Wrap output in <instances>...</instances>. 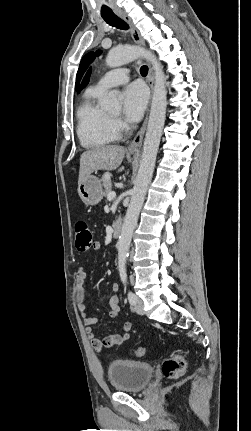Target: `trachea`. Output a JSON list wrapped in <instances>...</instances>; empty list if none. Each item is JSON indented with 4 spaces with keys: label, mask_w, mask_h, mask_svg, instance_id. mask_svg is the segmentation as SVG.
Returning a JSON list of instances; mask_svg holds the SVG:
<instances>
[{
    "label": "trachea",
    "mask_w": 251,
    "mask_h": 431,
    "mask_svg": "<svg viewBox=\"0 0 251 431\" xmlns=\"http://www.w3.org/2000/svg\"><path fill=\"white\" fill-rule=\"evenodd\" d=\"M102 18L111 26L119 28V29H123V30H127L129 28L128 24L123 21L122 19H120L118 16H116L114 13H107V14H103ZM140 73L142 76H146L148 73V67L147 66H142L140 68Z\"/></svg>",
    "instance_id": "trachea-1"
}]
</instances>
